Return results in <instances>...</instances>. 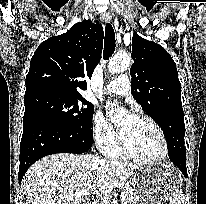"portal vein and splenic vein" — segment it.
I'll return each instance as SVG.
<instances>
[{"mask_svg": "<svg viewBox=\"0 0 206 204\" xmlns=\"http://www.w3.org/2000/svg\"><path fill=\"white\" fill-rule=\"evenodd\" d=\"M87 194H88V192H87L86 190H84V191H77V192L75 193L76 196L87 195ZM125 197H126V193H125V192H122L121 195H120V198H121V199H124Z\"/></svg>", "mask_w": 206, "mask_h": 204, "instance_id": "portal-vein-and-splenic-vein-1", "label": "portal vein and splenic vein"}]
</instances>
